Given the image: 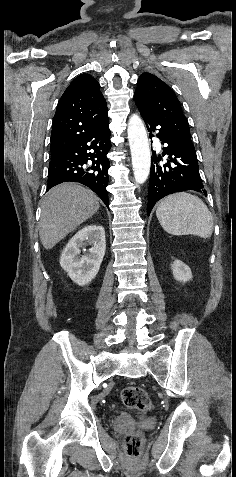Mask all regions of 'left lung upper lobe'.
Here are the masks:
<instances>
[{
    "mask_svg": "<svg viewBox=\"0 0 236 477\" xmlns=\"http://www.w3.org/2000/svg\"><path fill=\"white\" fill-rule=\"evenodd\" d=\"M134 98L138 109L156 121L173 139L195 150L180 102L166 83L153 74L144 73L138 80Z\"/></svg>",
    "mask_w": 236,
    "mask_h": 477,
    "instance_id": "5c2ea615",
    "label": "left lung upper lobe"
}]
</instances>
